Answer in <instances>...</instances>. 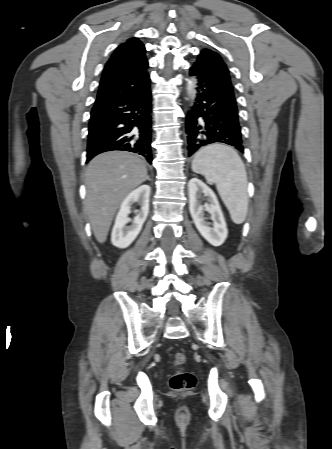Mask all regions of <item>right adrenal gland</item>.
Masks as SVG:
<instances>
[{"label":"right adrenal gland","instance_id":"2a0ac1e0","mask_svg":"<svg viewBox=\"0 0 332 449\" xmlns=\"http://www.w3.org/2000/svg\"><path fill=\"white\" fill-rule=\"evenodd\" d=\"M147 180H150L149 176H147Z\"/></svg>","mask_w":332,"mask_h":449}]
</instances>
